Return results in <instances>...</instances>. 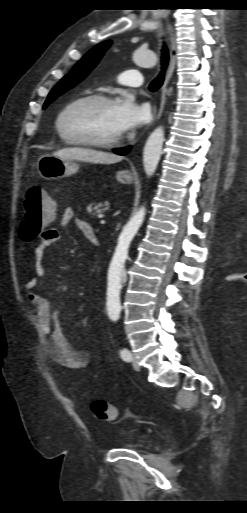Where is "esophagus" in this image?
I'll return each mask as SVG.
<instances>
[{
	"label": "esophagus",
	"instance_id": "1",
	"mask_svg": "<svg viewBox=\"0 0 247 513\" xmlns=\"http://www.w3.org/2000/svg\"><path fill=\"white\" fill-rule=\"evenodd\" d=\"M167 31H168V35H169V41H170V55H171V59H170V65H169V69H168V72L166 74V77H165V80L161 86V89H160V103H159V108L157 109V104H154L153 105V108H152V112H153V115H154V120H157L161 117L162 113H163V110H164V106H165V103H166V89H167V85L173 75V72L175 70V67H176V62H177V43H176V33H175V30L174 28L172 27V25L170 23H167Z\"/></svg>",
	"mask_w": 247,
	"mask_h": 513
}]
</instances>
